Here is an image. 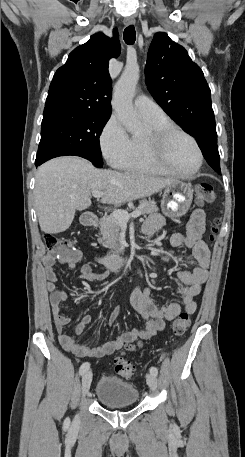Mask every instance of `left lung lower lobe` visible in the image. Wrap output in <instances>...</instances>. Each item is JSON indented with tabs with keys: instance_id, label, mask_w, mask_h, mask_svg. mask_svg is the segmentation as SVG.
Listing matches in <instances>:
<instances>
[{
	"instance_id": "obj_1",
	"label": "left lung lower lobe",
	"mask_w": 245,
	"mask_h": 457,
	"mask_svg": "<svg viewBox=\"0 0 245 457\" xmlns=\"http://www.w3.org/2000/svg\"><path fill=\"white\" fill-rule=\"evenodd\" d=\"M202 150L203 156L207 163L218 173L220 170V156L217 146V133L216 128H209L202 135L195 138Z\"/></svg>"
}]
</instances>
